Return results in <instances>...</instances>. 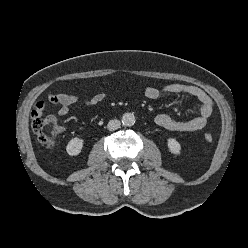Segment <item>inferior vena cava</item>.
<instances>
[{"mask_svg": "<svg viewBox=\"0 0 248 248\" xmlns=\"http://www.w3.org/2000/svg\"><path fill=\"white\" fill-rule=\"evenodd\" d=\"M120 125H121V123H120L119 120L113 119V120H110V121L108 122L107 128H108V130H110V131H114V130L119 129V128H120Z\"/></svg>", "mask_w": 248, "mask_h": 248, "instance_id": "obj_1", "label": "inferior vena cava"}]
</instances>
